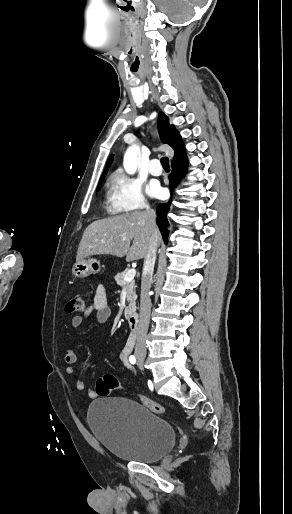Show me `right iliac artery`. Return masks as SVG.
I'll return each mask as SVG.
<instances>
[{
	"label": "right iliac artery",
	"instance_id": "82829eb1",
	"mask_svg": "<svg viewBox=\"0 0 292 514\" xmlns=\"http://www.w3.org/2000/svg\"><path fill=\"white\" fill-rule=\"evenodd\" d=\"M129 361H130V363H131V364H135V363H136V358H135V356H134V355H131V356L129 357Z\"/></svg>",
	"mask_w": 292,
	"mask_h": 514
}]
</instances>
